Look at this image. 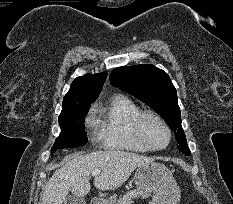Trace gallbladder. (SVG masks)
<instances>
[{"label": "gallbladder", "instance_id": "1", "mask_svg": "<svg viewBox=\"0 0 233 204\" xmlns=\"http://www.w3.org/2000/svg\"><path fill=\"white\" fill-rule=\"evenodd\" d=\"M64 204H86V202L82 197L70 195L65 199Z\"/></svg>", "mask_w": 233, "mask_h": 204}]
</instances>
